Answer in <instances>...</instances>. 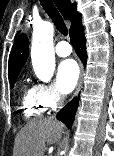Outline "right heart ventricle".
<instances>
[{"label":"right heart ventricle","mask_w":114,"mask_h":156,"mask_svg":"<svg viewBox=\"0 0 114 156\" xmlns=\"http://www.w3.org/2000/svg\"><path fill=\"white\" fill-rule=\"evenodd\" d=\"M21 108L26 118L39 117L43 115L46 108L38 97L36 86L23 87Z\"/></svg>","instance_id":"obj_1"}]
</instances>
